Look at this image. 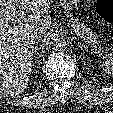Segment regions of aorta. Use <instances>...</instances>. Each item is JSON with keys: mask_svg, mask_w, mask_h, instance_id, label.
I'll use <instances>...</instances> for the list:
<instances>
[{"mask_svg": "<svg viewBox=\"0 0 113 113\" xmlns=\"http://www.w3.org/2000/svg\"><path fill=\"white\" fill-rule=\"evenodd\" d=\"M66 44V36L63 32H54L46 39V46L48 49L58 51Z\"/></svg>", "mask_w": 113, "mask_h": 113, "instance_id": "aorta-1", "label": "aorta"}]
</instances>
